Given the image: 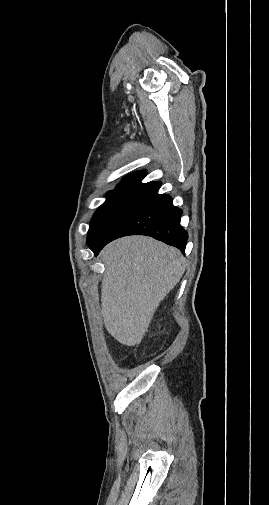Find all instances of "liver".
Segmentation results:
<instances>
[{
	"label": "liver",
	"instance_id": "6515ba94",
	"mask_svg": "<svg viewBox=\"0 0 269 505\" xmlns=\"http://www.w3.org/2000/svg\"><path fill=\"white\" fill-rule=\"evenodd\" d=\"M106 271L101 313L109 334L126 346L141 342L163 298L184 273L181 252L145 236L111 242L101 251Z\"/></svg>",
	"mask_w": 269,
	"mask_h": 505
}]
</instances>
